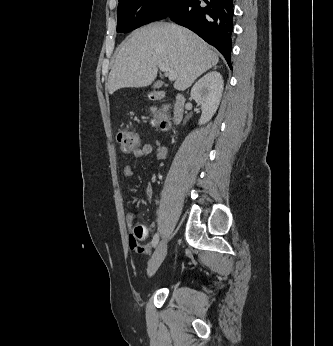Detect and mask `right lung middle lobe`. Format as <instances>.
I'll return each instance as SVG.
<instances>
[{
	"label": "right lung middle lobe",
	"mask_w": 333,
	"mask_h": 346,
	"mask_svg": "<svg viewBox=\"0 0 333 346\" xmlns=\"http://www.w3.org/2000/svg\"><path fill=\"white\" fill-rule=\"evenodd\" d=\"M183 0H119L117 32H130L152 21L164 19Z\"/></svg>",
	"instance_id": "dd1d6c3e"
}]
</instances>
